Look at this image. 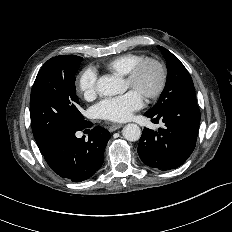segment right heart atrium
<instances>
[{
	"mask_svg": "<svg viewBox=\"0 0 232 232\" xmlns=\"http://www.w3.org/2000/svg\"><path fill=\"white\" fill-rule=\"evenodd\" d=\"M98 74L92 67L84 69L77 79V89L86 99L92 98L97 92Z\"/></svg>",
	"mask_w": 232,
	"mask_h": 232,
	"instance_id": "d8ad5b80",
	"label": "right heart atrium"
}]
</instances>
